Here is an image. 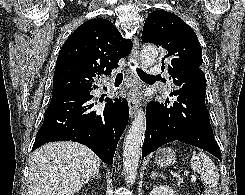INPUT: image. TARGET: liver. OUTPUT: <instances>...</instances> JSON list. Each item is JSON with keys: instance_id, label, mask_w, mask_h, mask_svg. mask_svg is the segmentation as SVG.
Returning a JSON list of instances; mask_svg holds the SVG:
<instances>
[{"instance_id": "liver-1", "label": "liver", "mask_w": 245, "mask_h": 195, "mask_svg": "<svg viewBox=\"0 0 245 195\" xmlns=\"http://www.w3.org/2000/svg\"><path fill=\"white\" fill-rule=\"evenodd\" d=\"M100 159L77 142L48 143L32 154L29 195H74L99 172Z\"/></svg>"}]
</instances>
